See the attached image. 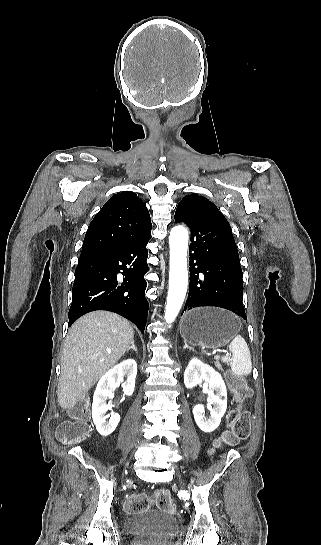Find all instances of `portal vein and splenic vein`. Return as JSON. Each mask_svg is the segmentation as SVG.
Wrapping results in <instances>:
<instances>
[{
	"instance_id": "18ae733b",
	"label": "portal vein and splenic vein",
	"mask_w": 321,
	"mask_h": 545,
	"mask_svg": "<svg viewBox=\"0 0 321 545\" xmlns=\"http://www.w3.org/2000/svg\"><path fill=\"white\" fill-rule=\"evenodd\" d=\"M223 353H225V351H223ZM210 354L211 355H216L217 354V349L214 347V348H211L210 349Z\"/></svg>"
}]
</instances>
